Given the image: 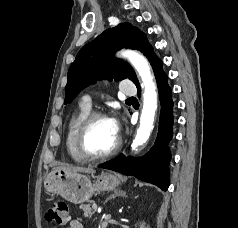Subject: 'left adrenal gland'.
<instances>
[{"instance_id": "a2214340", "label": "left adrenal gland", "mask_w": 238, "mask_h": 228, "mask_svg": "<svg viewBox=\"0 0 238 228\" xmlns=\"http://www.w3.org/2000/svg\"><path fill=\"white\" fill-rule=\"evenodd\" d=\"M117 196L127 197L125 191L115 190V191H114V194H112L110 197H108V198L106 199L105 203H106L108 200L113 199V198H115V197H117Z\"/></svg>"}]
</instances>
